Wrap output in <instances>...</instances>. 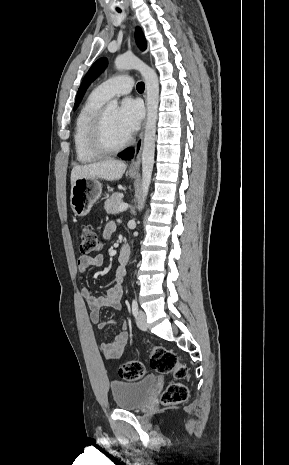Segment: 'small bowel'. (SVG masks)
Masks as SVG:
<instances>
[{
	"label": "small bowel",
	"instance_id": "obj_1",
	"mask_svg": "<svg viewBox=\"0 0 289 465\" xmlns=\"http://www.w3.org/2000/svg\"><path fill=\"white\" fill-rule=\"evenodd\" d=\"M114 231V225L108 224L104 230V237L109 238ZM104 263L103 255L88 256L82 255L77 261V269L80 274L87 273L90 269L101 267ZM125 275L124 266L121 264L112 280V286L103 295H94L87 287L82 289V295L85 298L90 309V321L96 324L99 330H106L110 325L116 324V320L100 321L99 314L103 307H112L115 310L122 309L123 296V279ZM127 323H121L120 330L116 333L112 341H106L100 344L103 356L107 360H115L120 357L124 346L128 340Z\"/></svg>",
	"mask_w": 289,
	"mask_h": 465
}]
</instances>
